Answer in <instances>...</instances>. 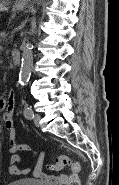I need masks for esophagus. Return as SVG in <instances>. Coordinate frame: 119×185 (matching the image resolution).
I'll use <instances>...</instances> for the list:
<instances>
[{"label":"esophagus","instance_id":"34e87169","mask_svg":"<svg viewBox=\"0 0 119 185\" xmlns=\"http://www.w3.org/2000/svg\"><path fill=\"white\" fill-rule=\"evenodd\" d=\"M25 1H27V0H17V5H20V4H23Z\"/></svg>","mask_w":119,"mask_h":185}]
</instances>
